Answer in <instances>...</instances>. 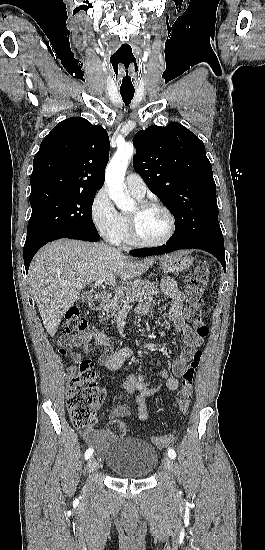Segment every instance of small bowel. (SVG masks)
<instances>
[{
    "label": "small bowel",
    "instance_id": "c3829d8e",
    "mask_svg": "<svg viewBox=\"0 0 265 550\" xmlns=\"http://www.w3.org/2000/svg\"><path fill=\"white\" fill-rule=\"evenodd\" d=\"M161 289L165 296L171 301L169 317L174 322L175 328L184 343V347L180 354L172 362L171 369H163L160 371L161 378L166 380L165 387L170 391H176L179 387V378H181L186 370L187 363L190 362L194 354L198 351L203 343V337L194 332L185 322L183 316L184 295L179 289L174 280L166 278L162 281ZM150 305L142 303L137 308L139 315H146L149 312ZM104 347L105 351L100 356L99 362L106 365L110 369H117L129 359L133 350L130 347H123L118 350L111 348L109 337L102 331L95 328H89L84 333L75 336L64 337L61 343L71 348V358L77 361L80 355L75 349L81 347L85 353H90V342ZM122 386L133 396L137 406V418L140 421H146L149 418V413L146 406V399L156 395L162 385H154L149 376L139 369L135 373H129L125 376ZM129 415V410L123 405L114 406L108 413V419L117 417H126ZM83 437L86 442L100 446L108 437L105 429L87 428L83 432Z\"/></svg>",
    "mask_w": 265,
    "mask_h": 550
}]
</instances>
